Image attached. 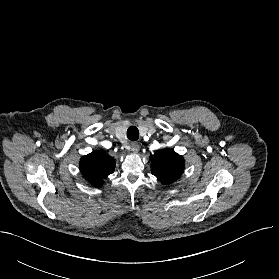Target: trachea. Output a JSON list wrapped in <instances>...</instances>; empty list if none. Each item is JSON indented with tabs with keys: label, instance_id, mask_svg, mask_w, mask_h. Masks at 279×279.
<instances>
[{
	"label": "trachea",
	"instance_id": "3493384b",
	"mask_svg": "<svg viewBox=\"0 0 279 279\" xmlns=\"http://www.w3.org/2000/svg\"><path fill=\"white\" fill-rule=\"evenodd\" d=\"M127 137L129 140H137L139 138V130L135 126H130L127 129Z\"/></svg>",
	"mask_w": 279,
	"mask_h": 279
}]
</instances>
